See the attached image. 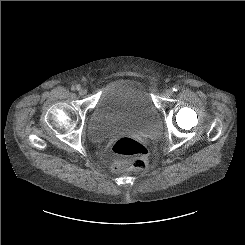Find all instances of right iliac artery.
I'll return each instance as SVG.
<instances>
[{
	"label": "right iliac artery",
	"mask_w": 245,
	"mask_h": 245,
	"mask_svg": "<svg viewBox=\"0 0 245 245\" xmlns=\"http://www.w3.org/2000/svg\"><path fill=\"white\" fill-rule=\"evenodd\" d=\"M79 88H80V86L77 85V86H73V87L71 88V90L75 91V90H78Z\"/></svg>",
	"instance_id": "1"
}]
</instances>
